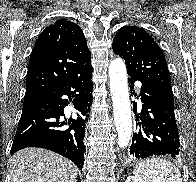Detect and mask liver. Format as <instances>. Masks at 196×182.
I'll return each instance as SVG.
<instances>
[{
  "label": "liver",
  "mask_w": 196,
  "mask_h": 182,
  "mask_svg": "<svg viewBox=\"0 0 196 182\" xmlns=\"http://www.w3.org/2000/svg\"><path fill=\"white\" fill-rule=\"evenodd\" d=\"M77 168L51 151L26 148L11 158V182H77Z\"/></svg>",
  "instance_id": "liver-1"
}]
</instances>
